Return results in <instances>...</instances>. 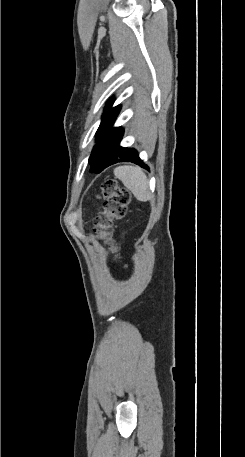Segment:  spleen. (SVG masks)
<instances>
[{"instance_id":"3e777b00","label":"spleen","mask_w":245,"mask_h":457,"mask_svg":"<svg viewBox=\"0 0 245 457\" xmlns=\"http://www.w3.org/2000/svg\"><path fill=\"white\" fill-rule=\"evenodd\" d=\"M116 178H120L123 184L133 192L137 200H150L149 180L140 166H117L114 168Z\"/></svg>"}]
</instances>
